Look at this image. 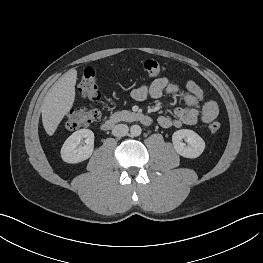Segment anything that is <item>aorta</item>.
<instances>
[{
    "label": "aorta",
    "mask_w": 263,
    "mask_h": 263,
    "mask_svg": "<svg viewBox=\"0 0 263 263\" xmlns=\"http://www.w3.org/2000/svg\"><path fill=\"white\" fill-rule=\"evenodd\" d=\"M142 130L139 125H132L130 128V133L132 136L137 137L141 134Z\"/></svg>",
    "instance_id": "762f6f07"
}]
</instances>
